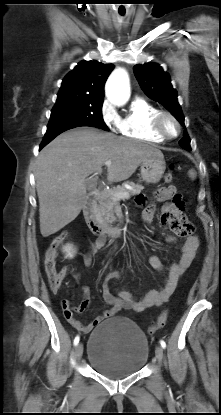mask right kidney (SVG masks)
Returning <instances> with one entry per match:
<instances>
[{"label":"right kidney","instance_id":"1","mask_svg":"<svg viewBox=\"0 0 221 415\" xmlns=\"http://www.w3.org/2000/svg\"><path fill=\"white\" fill-rule=\"evenodd\" d=\"M63 251L66 253L67 258H73L76 253V250L69 244L64 246Z\"/></svg>","mask_w":221,"mask_h":415}]
</instances>
